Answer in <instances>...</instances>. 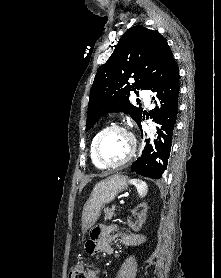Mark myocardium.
Segmentation results:
<instances>
[{
    "mask_svg": "<svg viewBox=\"0 0 221 278\" xmlns=\"http://www.w3.org/2000/svg\"><path fill=\"white\" fill-rule=\"evenodd\" d=\"M113 131H120V132L125 133L130 139L131 148H130L129 154L127 155V157L125 159H123L122 161L115 163V164H108V163L104 162L100 156V144H101L103 138L108 133L113 132ZM136 150H137V141H136L134 134L130 130H128L126 127H123L120 125H111V126L105 128L104 130H102L100 132V134L98 135V137L96 138L95 143H94L95 159L102 168H106V169H117V168L125 166L134 157Z\"/></svg>",
    "mask_w": 221,
    "mask_h": 278,
    "instance_id": "f54148a6",
    "label": "myocardium"
}]
</instances>
